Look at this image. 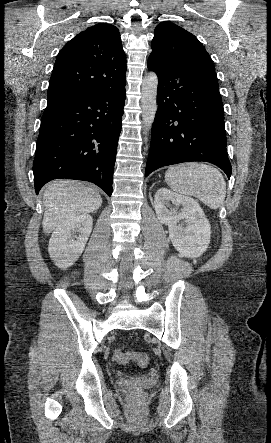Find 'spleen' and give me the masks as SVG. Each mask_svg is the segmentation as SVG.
<instances>
[{"label":"spleen","mask_w":271,"mask_h":443,"mask_svg":"<svg viewBox=\"0 0 271 443\" xmlns=\"http://www.w3.org/2000/svg\"><path fill=\"white\" fill-rule=\"evenodd\" d=\"M165 182L177 194L194 196L211 210H217L225 202L226 182L213 166L196 162L172 166L165 174Z\"/></svg>","instance_id":"spleen-1"}]
</instances>
